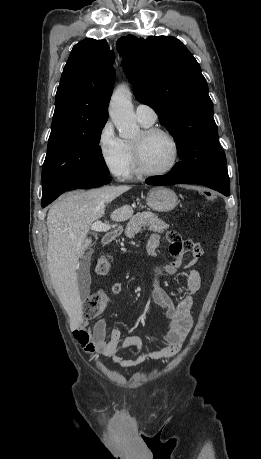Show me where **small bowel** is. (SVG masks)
<instances>
[{"label": "small bowel", "instance_id": "obj_1", "mask_svg": "<svg viewBox=\"0 0 261 459\" xmlns=\"http://www.w3.org/2000/svg\"><path fill=\"white\" fill-rule=\"evenodd\" d=\"M169 253L172 257L170 264L160 267L153 277L152 298L162 308L164 316L169 324L168 332L161 339V346L144 351L143 341L139 336L121 337L118 329L107 332L105 319H99L93 326L86 320L79 322L73 334L79 346L90 355H101L110 359L115 365L121 368L135 367L147 360H166L174 357L181 349L186 335L192 327L191 306L192 297L200 289V273L193 266L202 254L201 247L193 241L183 240L177 233L168 235ZM160 247V238L157 234L150 237L148 252L155 254ZM189 253L190 258L184 265V256ZM185 266L186 285L178 290L179 300L174 301L169 293L161 286L160 278L174 274L182 266ZM122 290V283L116 282L111 287L113 295L119 294ZM109 304L107 298L105 309ZM135 347L138 356L134 359H123L117 355L120 349Z\"/></svg>", "mask_w": 261, "mask_h": 459}]
</instances>
